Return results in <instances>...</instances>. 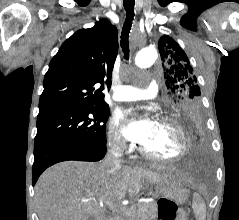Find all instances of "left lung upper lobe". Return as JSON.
<instances>
[{
  "instance_id": "1",
  "label": "left lung upper lobe",
  "mask_w": 239,
  "mask_h": 220,
  "mask_svg": "<svg viewBox=\"0 0 239 220\" xmlns=\"http://www.w3.org/2000/svg\"><path fill=\"white\" fill-rule=\"evenodd\" d=\"M158 48L169 93L170 112L177 116L184 110L202 109L200 87L183 49L167 35L160 38Z\"/></svg>"
}]
</instances>
